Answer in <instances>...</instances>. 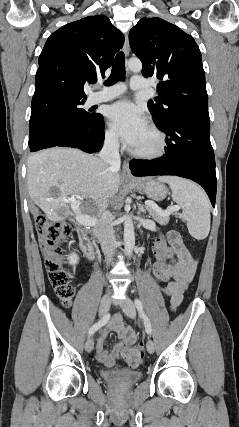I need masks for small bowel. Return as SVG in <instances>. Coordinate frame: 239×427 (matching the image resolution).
<instances>
[{
  "label": "small bowel",
  "instance_id": "obj_1",
  "mask_svg": "<svg viewBox=\"0 0 239 427\" xmlns=\"http://www.w3.org/2000/svg\"><path fill=\"white\" fill-rule=\"evenodd\" d=\"M167 239L169 241L168 252L171 257L175 256L177 261L170 266L171 275L166 285V291L162 293L170 298V308L175 310L182 302L183 295L195 275L197 261L190 254L179 233L170 231ZM110 333H116L119 342L111 351H107L104 348V341ZM135 341V331L124 324L120 315H115L98 337L96 348L98 361L108 368L114 367L119 353L126 346L134 344Z\"/></svg>",
  "mask_w": 239,
  "mask_h": 427
}]
</instances>
